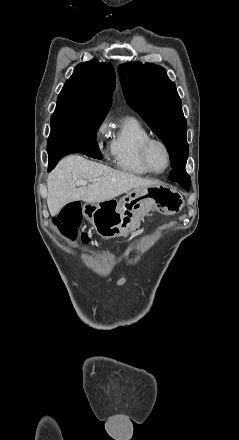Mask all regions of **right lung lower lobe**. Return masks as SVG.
Listing matches in <instances>:
<instances>
[{"label":"right lung lower lobe","instance_id":"1","mask_svg":"<svg viewBox=\"0 0 239 440\" xmlns=\"http://www.w3.org/2000/svg\"><path fill=\"white\" fill-rule=\"evenodd\" d=\"M70 153H82V154L90 156L94 159H102V154L99 150L98 145L97 144H88V145L81 146L78 148H74V149H70L67 151H63V152L49 155V169H48V171L53 169L55 167V165L57 164V162L62 157H64L65 155H68Z\"/></svg>","mask_w":239,"mask_h":440}]
</instances>
